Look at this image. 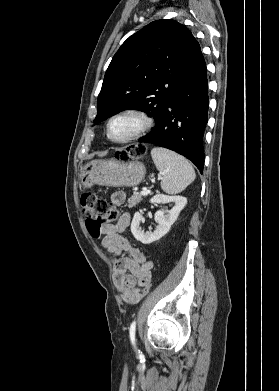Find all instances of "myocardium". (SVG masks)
<instances>
[{
	"label": "myocardium",
	"mask_w": 279,
	"mask_h": 391,
	"mask_svg": "<svg viewBox=\"0 0 279 391\" xmlns=\"http://www.w3.org/2000/svg\"><path fill=\"white\" fill-rule=\"evenodd\" d=\"M123 116H132L138 120V126L134 131H132L128 136L122 139H115L111 135V124L114 120L123 117ZM153 125L152 118L143 110L137 108H125L114 113L107 121L106 124V136L108 140L117 144H125L131 142L142 135H144Z\"/></svg>",
	"instance_id": "myocardium-1"
}]
</instances>
